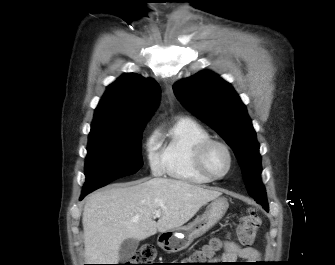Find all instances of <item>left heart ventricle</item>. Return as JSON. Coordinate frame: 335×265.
Masks as SVG:
<instances>
[{
  "instance_id": "obj_1",
  "label": "left heart ventricle",
  "mask_w": 335,
  "mask_h": 265,
  "mask_svg": "<svg viewBox=\"0 0 335 265\" xmlns=\"http://www.w3.org/2000/svg\"><path fill=\"white\" fill-rule=\"evenodd\" d=\"M206 165L213 174H223L228 167V157L225 150L220 146L211 147L206 155Z\"/></svg>"
}]
</instances>
